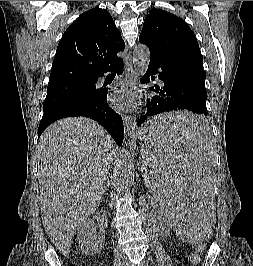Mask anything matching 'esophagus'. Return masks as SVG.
Instances as JSON below:
<instances>
[{
	"instance_id": "esophagus-1",
	"label": "esophagus",
	"mask_w": 253,
	"mask_h": 266,
	"mask_svg": "<svg viewBox=\"0 0 253 266\" xmlns=\"http://www.w3.org/2000/svg\"><path fill=\"white\" fill-rule=\"evenodd\" d=\"M125 77L128 81H133L135 78V71H134V65H133V59L130 56L128 61L125 63ZM123 123H124V129L125 134L127 136H132L135 131V118L130 115H123Z\"/></svg>"
}]
</instances>
